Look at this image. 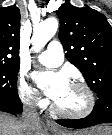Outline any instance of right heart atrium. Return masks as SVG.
Here are the masks:
<instances>
[{
  "instance_id": "1",
  "label": "right heart atrium",
  "mask_w": 112,
  "mask_h": 135,
  "mask_svg": "<svg viewBox=\"0 0 112 135\" xmlns=\"http://www.w3.org/2000/svg\"><path fill=\"white\" fill-rule=\"evenodd\" d=\"M18 96L26 107L33 110L45 108L47 105V101L22 76L18 81Z\"/></svg>"
}]
</instances>
